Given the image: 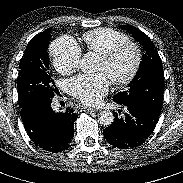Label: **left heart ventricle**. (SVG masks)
Segmentation results:
<instances>
[{"label": "left heart ventricle", "instance_id": "b2bd125f", "mask_svg": "<svg viewBox=\"0 0 183 183\" xmlns=\"http://www.w3.org/2000/svg\"><path fill=\"white\" fill-rule=\"evenodd\" d=\"M133 63L134 51L131 48H126L109 63L100 58L97 65V71L105 73L110 80L120 79L130 72Z\"/></svg>", "mask_w": 183, "mask_h": 183}]
</instances>
